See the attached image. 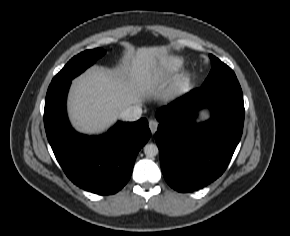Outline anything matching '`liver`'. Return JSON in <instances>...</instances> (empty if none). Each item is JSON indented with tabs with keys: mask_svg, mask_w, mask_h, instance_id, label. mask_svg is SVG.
<instances>
[{
	"mask_svg": "<svg viewBox=\"0 0 290 236\" xmlns=\"http://www.w3.org/2000/svg\"><path fill=\"white\" fill-rule=\"evenodd\" d=\"M167 47L139 48L128 52L120 68L94 66L75 78L67 109L73 127L88 135L109 129L127 108L138 105L159 86L158 60Z\"/></svg>",
	"mask_w": 290,
	"mask_h": 236,
	"instance_id": "1",
	"label": "liver"
}]
</instances>
